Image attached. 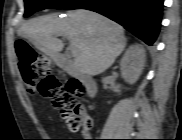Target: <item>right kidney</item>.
<instances>
[{"instance_id":"1","label":"right kidney","mask_w":182,"mask_h":140,"mask_svg":"<svg viewBox=\"0 0 182 140\" xmlns=\"http://www.w3.org/2000/svg\"><path fill=\"white\" fill-rule=\"evenodd\" d=\"M144 66V48L139 44L132 45L126 51L120 62L123 79L129 84L136 83L144 69Z\"/></svg>"}]
</instances>
